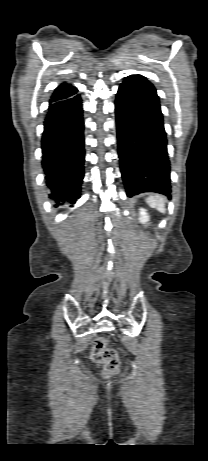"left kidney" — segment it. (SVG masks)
Wrapping results in <instances>:
<instances>
[{
    "label": "left kidney",
    "instance_id": "left-kidney-1",
    "mask_svg": "<svg viewBox=\"0 0 208 461\" xmlns=\"http://www.w3.org/2000/svg\"><path fill=\"white\" fill-rule=\"evenodd\" d=\"M139 215H140L139 221L141 223L146 224L149 221V215L146 209L140 208Z\"/></svg>",
    "mask_w": 208,
    "mask_h": 461
}]
</instances>
